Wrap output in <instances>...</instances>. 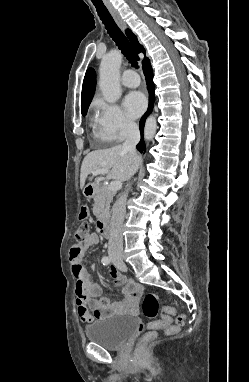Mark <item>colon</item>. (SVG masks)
<instances>
[{
	"mask_svg": "<svg viewBox=\"0 0 249 382\" xmlns=\"http://www.w3.org/2000/svg\"><path fill=\"white\" fill-rule=\"evenodd\" d=\"M87 214L86 208H82L81 216L85 217ZM89 236V225L86 222H81L76 230L75 238L78 243H83ZM142 312L148 319H154L159 313V297L155 293H147L142 300ZM175 311L172 307H164L162 309L161 319L158 322H149L147 327L149 329L164 328L168 334L178 331L185 324L184 315H178L175 323H172V316ZM156 337L154 330L145 333L141 337V342L146 343L153 340Z\"/></svg>",
	"mask_w": 249,
	"mask_h": 382,
	"instance_id": "obj_1",
	"label": "colon"
}]
</instances>
